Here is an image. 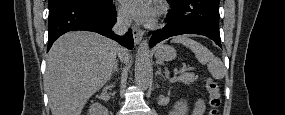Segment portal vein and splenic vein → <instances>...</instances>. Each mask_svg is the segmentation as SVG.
<instances>
[{"mask_svg":"<svg viewBox=\"0 0 285 115\" xmlns=\"http://www.w3.org/2000/svg\"><path fill=\"white\" fill-rule=\"evenodd\" d=\"M186 69H187L186 64H183V67L181 68V70H179V71H175V74H178V73L184 72Z\"/></svg>","mask_w":285,"mask_h":115,"instance_id":"obj_1","label":"portal vein and splenic vein"}]
</instances>
